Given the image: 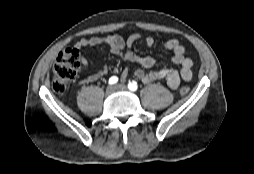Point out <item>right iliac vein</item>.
I'll list each match as a JSON object with an SVG mask.
<instances>
[{"mask_svg":"<svg viewBox=\"0 0 254 174\" xmlns=\"http://www.w3.org/2000/svg\"><path fill=\"white\" fill-rule=\"evenodd\" d=\"M114 91H115V86L110 85V86H108L107 89H106V94H107V95H110V94H112Z\"/></svg>","mask_w":254,"mask_h":174,"instance_id":"obj_1","label":"right iliac vein"}]
</instances>
